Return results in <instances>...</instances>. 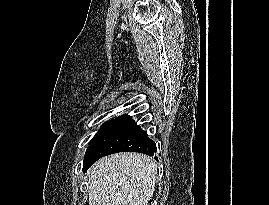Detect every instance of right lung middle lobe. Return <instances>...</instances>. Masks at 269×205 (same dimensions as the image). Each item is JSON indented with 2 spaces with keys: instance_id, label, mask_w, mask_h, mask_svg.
Segmentation results:
<instances>
[{
  "instance_id": "obj_1",
  "label": "right lung middle lobe",
  "mask_w": 269,
  "mask_h": 205,
  "mask_svg": "<svg viewBox=\"0 0 269 205\" xmlns=\"http://www.w3.org/2000/svg\"><path fill=\"white\" fill-rule=\"evenodd\" d=\"M113 120V119H112ZM112 120H109L108 122H105L102 126H101V129L98 131L97 135L99 134V132L104 129ZM94 139V138H93ZM92 139V140H93ZM90 144V143H89Z\"/></svg>"
}]
</instances>
